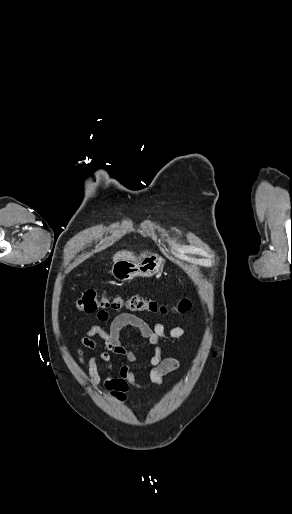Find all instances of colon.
<instances>
[{"mask_svg": "<svg viewBox=\"0 0 292 514\" xmlns=\"http://www.w3.org/2000/svg\"><path fill=\"white\" fill-rule=\"evenodd\" d=\"M79 308L85 313L103 312L105 310H126L131 313L148 312V313H165L167 308L165 305L155 299L143 297L139 295L122 296L120 294L109 297L105 292L98 294L94 289H86L81 298L78 300ZM190 308V302L187 298H182L175 304V311L185 313Z\"/></svg>", "mask_w": 292, "mask_h": 514, "instance_id": "5ec220e1", "label": "colon"}]
</instances>
